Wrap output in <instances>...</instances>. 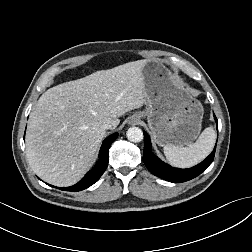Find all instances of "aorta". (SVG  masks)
Wrapping results in <instances>:
<instances>
[{"label":"aorta","mask_w":252,"mask_h":252,"mask_svg":"<svg viewBox=\"0 0 252 252\" xmlns=\"http://www.w3.org/2000/svg\"><path fill=\"white\" fill-rule=\"evenodd\" d=\"M129 141L137 143L143 140V132L139 127H130L126 133Z\"/></svg>","instance_id":"762f6f07"}]
</instances>
